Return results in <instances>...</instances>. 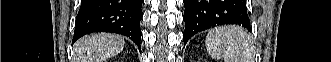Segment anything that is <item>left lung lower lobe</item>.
<instances>
[{"mask_svg": "<svg viewBox=\"0 0 331 62\" xmlns=\"http://www.w3.org/2000/svg\"><path fill=\"white\" fill-rule=\"evenodd\" d=\"M184 46L196 33L222 24H236L251 30L245 0H183Z\"/></svg>", "mask_w": 331, "mask_h": 62, "instance_id": "1", "label": "left lung lower lobe"}]
</instances>
